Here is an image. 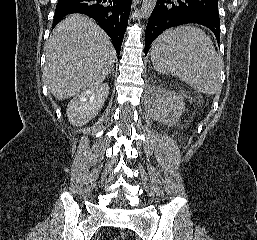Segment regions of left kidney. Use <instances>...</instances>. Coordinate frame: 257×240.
Instances as JSON below:
<instances>
[{"instance_id": "left-kidney-1", "label": "left kidney", "mask_w": 257, "mask_h": 240, "mask_svg": "<svg viewBox=\"0 0 257 240\" xmlns=\"http://www.w3.org/2000/svg\"><path fill=\"white\" fill-rule=\"evenodd\" d=\"M184 98V95L160 90L156 94L151 109L155 120L166 124H175L185 108Z\"/></svg>"}]
</instances>
